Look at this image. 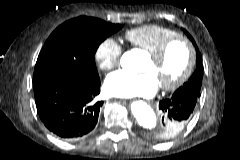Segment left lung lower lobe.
<instances>
[{
    "label": "left lung lower lobe",
    "mask_w": 240,
    "mask_h": 160,
    "mask_svg": "<svg viewBox=\"0 0 240 160\" xmlns=\"http://www.w3.org/2000/svg\"><path fill=\"white\" fill-rule=\"evenodd\" d=\"M198 98L188 94H173L171 98L160 101L159 108L163 113L162 121L165 122L163 138L174 137L178 134L190 118ZM180 124L178 127L175 124Z\"/></svg>",
    "instance_id": "left-lung-lower-lobe-1"
}]
</instances>
